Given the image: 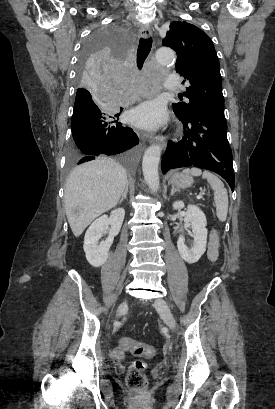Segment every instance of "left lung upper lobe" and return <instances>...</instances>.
I'll use <instances>...</instances> for the list:
<instances>
[{"label": "left lung upper lobe", "mask_w": 275, "mask_h": 409, "mask_svg": "<svg viewBox=\"0 0 275 409\" xmlns=\"http://www.w3.org/2000/svg\"><path fill=\"white\" fill-rule=\"evenodd\" d=\"M162 45L176 51V72L190 83L184 93L189 102L172 104L177 117L186 119L203 111L224 114L219 61L211 39L198 27L177 21L171 22Z\"/></svg>", "instance_id": "obj_1"}]
</instances>
